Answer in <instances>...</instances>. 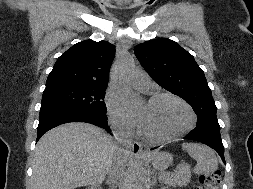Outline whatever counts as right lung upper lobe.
<instances>
[{
  "instance_id": "right-lung-upper-lobe-1",
  "label": "right lung upper lobe",
  "mask_w": 253,
  "mask_h": 189,
  "mask_svg": "<svg viewBox=\"0 0 253 189\" xmlns=\"http://www.w3.org/2000/svg\"><path fill=\"white\" fill-rule=\"evenodd\" d=\"M114 56L115 46L107 41L79 42L57 59L45 89L59 86L107 87Z\"/></svg>"
}]
</instances>
